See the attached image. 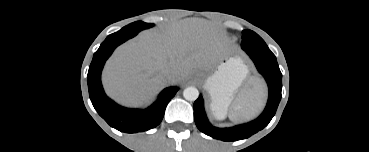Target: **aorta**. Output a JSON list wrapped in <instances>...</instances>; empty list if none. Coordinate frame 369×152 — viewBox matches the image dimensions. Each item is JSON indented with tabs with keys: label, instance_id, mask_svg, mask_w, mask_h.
I'll list each match as a JSON object with an SVG mask.
<instances>
[{
	"label": "aorta",
	"instance_id": "obj_1",
	"mask_svg": "<svg viewBox=\"0 0 369 152\" xmlns=\"http://www.w3.org/2000/svg\"><path fill=\"white\" fill-rule=\"evenodd\" d=\"M183 97L188 101H195L199 97V91L195 87H187L183 91Z\"/></svg>",
	"mask_w": 369,
	"mask_h": 152
}]
</instances>
